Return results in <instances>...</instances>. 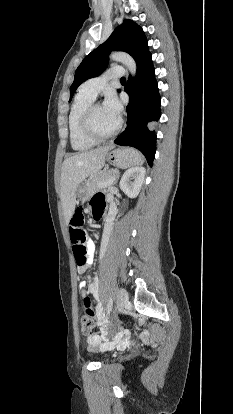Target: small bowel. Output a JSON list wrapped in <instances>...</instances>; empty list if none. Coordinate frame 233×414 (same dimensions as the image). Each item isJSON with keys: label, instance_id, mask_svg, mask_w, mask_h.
<instances>
[{"label": "small bowel", "instance_id": "1", "mask_svg": "<svg viewBox=\"0 0 233 414\" xmlns=\"http://www.w3.org/2000/svg\"><path fill=\"white\" fill-rule=\"evenodd\" d=\"M109 203H110L109 217H111L112 214L115 213V208H114L112 201H109ZM91 205H92L93 213H95L96 211L101 212L103 208V196L101 194L95 195L92 199ZM86 248H87V261L84 265H78V272L81 275L85 274V272L88 270V268L91 266L94 260V254H95L94 244L92 242H87ZM79 288L81 292L83 293V295L89 293L100 303L97 277H95L93 281L89 284H87L85 281L80 282ZM96 310L102 311L103 305L97 304ZM96 339L97 337L95 335L89 336L90 342H94Z\"/></svg>", "mask_w": 233, "mask_h": 414}]
</instances>
